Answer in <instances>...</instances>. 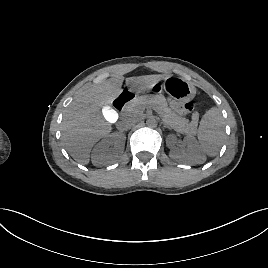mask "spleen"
Segmentation results:
<instances>
[{
	"label": "spleen",
	"instance_id": "3e777b00",
	"mask_svg": "<svg viewBox=\"0 0 268 268\" xmlns=\"http://www.w3.org/2000/svg\"><path fill=\"white\" fill-rule=\"evenodd\" d=\"M200 149L210 157L218 154L225 138L224 118L220 109L210 108L202 117L198 129Z\"/></svg>",
	"mask_w": 268,
	"mask_h": 268
}]
</instances>
